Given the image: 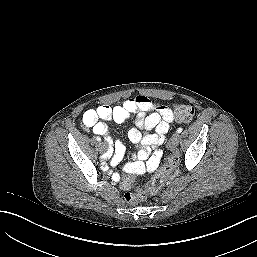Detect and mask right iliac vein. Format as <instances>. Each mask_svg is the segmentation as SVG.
<instances>
[{"instance_id":"obj_1","label":"right iliac vein","mask_w":257,"mask_h":257,"mask_svg":"<svg viewBox=\"0 0 257 257\" xmlns=\"http://www.w3.org/2000/svg\"><path fill=\"white\" fill-rule=\"evenodd\" d=\"M106 149H107V146L105 145V143L104 142H99V150L101 152H105Z\"/></svg>"}]
</instances>
